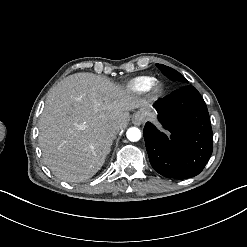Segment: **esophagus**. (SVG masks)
I'll return each mask as SVG.
<instances>
[{
	"label": "esophagus",
	"mask_w": 247,
	"mask_h": 247,
	"mask_svg": "<svg viewBox=\"0 0 247 247\" xmlns=\"http://www.w3.org/2000/svg\"><path fill=\"white\" fill-rule=\"evenodd\" d=\"M132 122H133V124H135V125H140V124H141V122H140V120H139L138 117H133V118H132Z\"/></svg>",
	"instance_id": "1"
}]
</instances>
